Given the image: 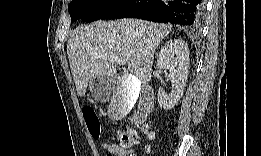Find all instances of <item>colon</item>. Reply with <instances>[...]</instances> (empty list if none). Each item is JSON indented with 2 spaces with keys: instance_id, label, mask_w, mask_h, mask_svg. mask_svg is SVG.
I'll return each mask as SVG.
<instances>
[{
  "instance_id": "5ec220e1",
  "label": "colon",
  "mask_w": 261,
  "mask_h": 156,
  "mask_svg": "<svg viewBox=\"0 0 261 156\" xmlns=\"http://www.w3.org/2000/svg\"><path fill=\"white\" fill-rule=\"evenodd\" d=\"M83 115L87 124V127L94 138H99L102 132L101 125L98 119V116L94 109L85 108L83 110ZM138 129L148 134L149 138L153 139L156 136V131L149 128V125L146 121H143ZM117 142L125 147L129 148L135 144L138 140L137 128L130 127L123 132L118 133L116 136Z\"/></svg>"
}]
</instances>
